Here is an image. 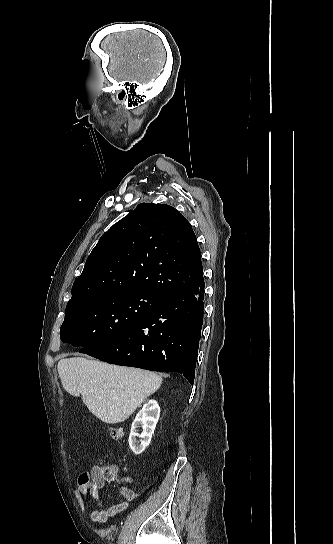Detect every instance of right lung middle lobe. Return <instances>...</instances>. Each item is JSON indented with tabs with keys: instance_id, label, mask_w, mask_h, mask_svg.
Returning a JSON list of instances; mask_svg holds the SVG:
<instances>
[{
	"instance_id": "obj_1",
	"label": "right lung middle lobe",
	"mask_w": 333,
	"mask_h": 544,
	"mask_svg": "<svg viewBox=\"0 0 333 544\" xmlns=\"http://www.w3.org/2000/svg\"><path fill=\"white\" fill-rule=\"evenodd\" d=\"M163 298L148 292L103 293L68 303L61 340L86 352L135 327Z\"/></svg>"
}]
</instances>
